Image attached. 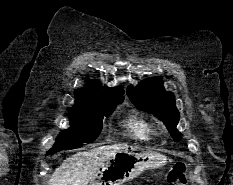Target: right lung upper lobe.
Returning <instances> with one entry per match:
<instances>
[{
  "mask_svg": "<svg viewBox=\"0 0 233 185\" xmlns=\"http://www.w3.org/2000/svg\"><path fill=\"white\" fill-rule=\"evenodd\" d=\"M122 87H101L97 81H89L84 89L75 91L76 105L74 107H90L104 102L123 101Z\"/></svg>",
  "mask_w": 233,
  "mask_h": 185,
  "instance_id": "cb5924a9",
  "label": "right lung upper lobe"
}]
</instances>
